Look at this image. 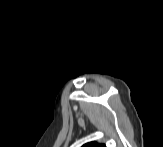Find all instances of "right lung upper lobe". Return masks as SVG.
I'll return each instance as SVG.
<instances>
[{"mask_svg": "<svg viewBox=\"0 0 163 147\" xmlns=\"http://www.w3.org/2000/svg\"><path fill=\"white\" fill-rule=\"evenodd\" d=\"M83 147H105V145L97 144L95 142H90V143H87V144L83 145Z\"/></svg>", "mask_w": 163, "mask_h": 147, "instance_id": "obj_1", "label": "right lung upper lobe"}]
</instances>
